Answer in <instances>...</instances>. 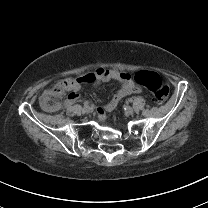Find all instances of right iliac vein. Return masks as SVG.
I'll list each match as a JSON object with an SVG mask.
<instances>
[{
	"instance_id": "1",
	"label": "right iliac vein",
	"mask_w": 208,
	"mask_h": 208,
	"mask_svg": "<svg viewBox=\"0 0 208 208\" xmlns=\"http://www.w3.org/2000/svg\"><path fill=\"white\" fill-rule=\"evenodd\" d=\"M83 112H84L85 114H88V113L91 112V108H90V107H85V108L83 109Z\"/></svg>"
}]
</instances>
